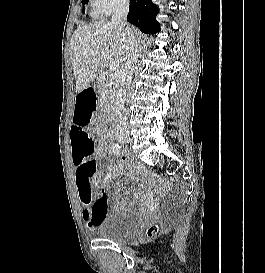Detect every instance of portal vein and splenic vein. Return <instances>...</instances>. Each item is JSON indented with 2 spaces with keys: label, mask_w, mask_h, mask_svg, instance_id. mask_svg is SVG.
I'll list each match as a JSON object with an SVG mask.
<instances>
[{
  "label": "portal vein and splenic vein",
  "mask_w": 265,
  "mask_h": 273,
  "mask_svg": "<svg viewBox=\"0 0 265 273\" xmlns=\"http://www.w3.org/2000/svg\"><path fill=\"white\" fill-rule=\"evenodd\" d=\"M120 68V62L117 60L111 61L109 64L110 72H114Z\"/></svg>",
  "instance_id": "portal-vein-and-splenic-vein-1"
}]
</instances>
